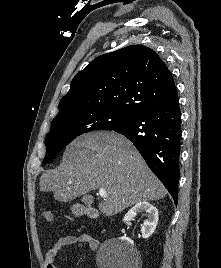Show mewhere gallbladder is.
Here are the masks:
<instances>
[{
	"mask_svg": "<svg viewBox=\"0 0 221 268\" xmlns=\"http://www.w3.org/2000/svg\"><path fill=\"white\" fill-rule=\"evenodd\" d=\"M84 202H85L87 205H89V203L92 202V199L89 198V197H86V198L84 199Z\"/></svg>",
	"mask_w": 221,
	"mask_h": 268,
	"instance_id": "obj_1",
	"label": "gallbladder"
}]
</instances>
